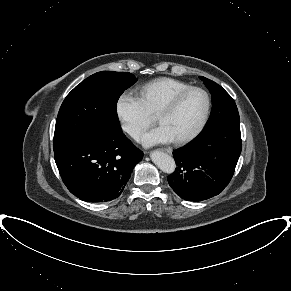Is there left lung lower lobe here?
Instances as JSON below:
<instances>
[{
  "mask_svg": "<svg viewBox=\"0 0 291 291\" xmlns=\"http://www.w3.org/2000/svg\"><path fill=\"white\" fill-rule=\"evenodd\" d=\"M240 153V126L215 128L174 151L177 168L168 176V183L186 200L215 196L231 180Z\"/></svg>",
  "mask_w": 291,
  "mask_h": 291,
  "instance_id": "0a47b994",
  "label": "left lung lower lobe"
}]
</instances>
